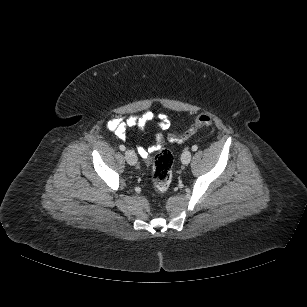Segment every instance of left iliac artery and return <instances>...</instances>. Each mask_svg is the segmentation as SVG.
Listing matches in <instances>:
<instances>
[{
    "label": "left iliac artery",
    "mask_w": 307,
    "mask_h": 307,
    "mask_svg": "<svg viewBox=\"0 0 307 307\" xmlns=\"http://www.w3.org/2000/svg\"><path fill=\"white\" fill-rule=\"evenodd\" d=\"M198 149L197 145L192 146V151H196Z\"/></svg>",
    "instance_id": "obj_1"
}]
</instances>
